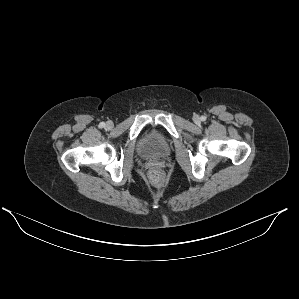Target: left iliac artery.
I'll list each match as a JSON object with an SVG mask.
<instances>
[{"label":"left iliac artery","mask_w":299,"mask_h":299,"mask_svg":"<svg viewBox=\"0 0 299 299\" xmlns=\"http://www.w3.org/2000/svg\"><path fill=\"white\" fill-rule=\"evenodd\" d=\"M201 120H202V121H205V120H206V117H205V116H202V117H201Z\"/></svg>","instance_id":"left-iliac-artery-1"}]
</instances>
